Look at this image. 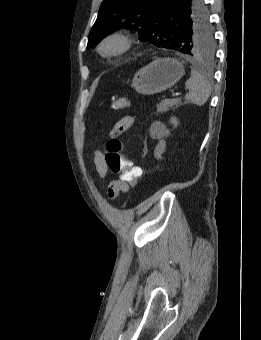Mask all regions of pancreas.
I'll use <instances>...</instances> for the list:
<instances>
[{
  "mask_svg": "<svg viewBox=\"0 0 261 340\" xmlns=\"http://www.w3.org/2000/svg\"><path fill=\"white\" fill-rule=\"evenodd\" d=\"M181 102L177 99H165L157 104V115L169 111L170 108H177Z\"/></svg>",
  "mask_w": 261,
  "mask_h": 340,
  "instance_id": "cf45deb5",
  "label": "pancreas"
}]
</instances>
